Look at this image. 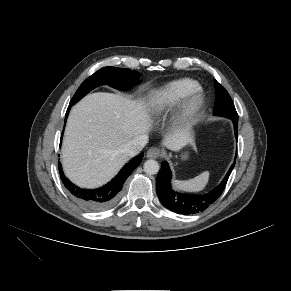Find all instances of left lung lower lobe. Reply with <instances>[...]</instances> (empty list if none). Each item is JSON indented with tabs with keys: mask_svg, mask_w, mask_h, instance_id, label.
I'll use <instances>...</instances> for the list:
<instances>
[{
	"mask_svg": "<svg viewBox=\"0 0 291 291\" xmlns=\"http://www.w3.org/2000/svg\"><path fill=\"white\" fill-rule=\"evenodd\" d=\"M222 116V115H218ZM230 118L234 124L236 139L238 138V117L224 116ZM235 162L230 167L222 182L214 189L203 195L184 194L173 190L171 187V170L166 161L162 162L157 176L156 192L161 203L169 210L183 215H192L204 211L214 203L222 194L227 180L234 168Z\"/></svg>",
	"mask_w": 291,
	"mask_h": 291,
	"instance_id": "left-lung-lower-lobe-1",
	"label": "left lung lower lobe"
}]
</instances>
